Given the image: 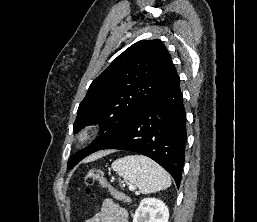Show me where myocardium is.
<instances>
[{
	"instance_id": "f54148a6",
	"label": "myocardium",
	"mask_w": 257,
	"mask_h": 222,
	"mask_svg": "<svg viewBox=\"0 0 257 222\" xmlns=\"http://www.w3.org/2000/svg\"><path fill=\"white\" fill-rule=\"evenodd\" d=\"M94 135V128L93 126H86L83 129H81L75 138L76 145L82 146L86 143H88Z\"/></svg>"
}]
</instances>
